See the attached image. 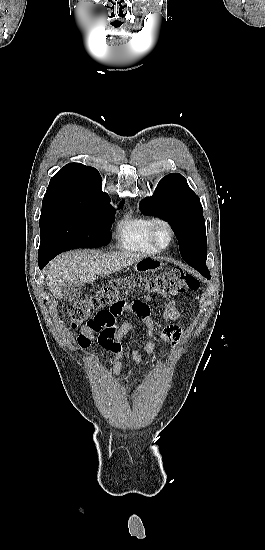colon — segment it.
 Returning a JSON list of instances; mask_svg holds the SVG:
<instances>
[{
  "label": "colon",
  "mask_w": 265,
  "mask_h": 550,
  "mask_svg": "<svg viewBox=\"0 0 265 550\" xmlns=\"http://www.w3.org/2000/svg\"><path fill=\"white\" fill-rule=\"evenodd\" d=\"M199 286L200 281L195 276L180 268L151 276H122L101 286L93 294L72 302L67 308L70 325L77 328L86 323L91 330L111 336L115 331L116 319L128 306L141 318L146 313L144 302L126 301L131 293L144 291L170 298L197 290Z\"/></svg>",
  "instance_id": "5ec220e1"
}]
</instances>
